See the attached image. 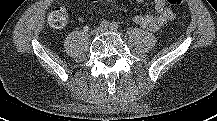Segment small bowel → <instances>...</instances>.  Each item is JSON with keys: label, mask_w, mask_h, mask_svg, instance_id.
<instances>
[{"label": "small bowel", "mask_w": 217, "mask_h": 121, "mask_svg": "<svg viewBox=\"0 0 217 121\" xmlns=\"http://www.w3.org/2000/svg\"><path fill=\"white\" fill-rule=\"evenodd\" d=\"M97 0H90L91 3L96 2ZM111 2L113 0H106ZM137 2H143L144 0H136ZM155 8L158 12L157 15L146 14V15H137L134 20L137 24L143 28L155 31L158 30L165 23L174 19V12L171 8L166 5V0H154Z\"/></svg>", "instance_id": "obj_1"}]
</instances>
